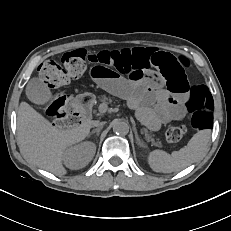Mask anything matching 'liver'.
I'll list each match as a JSON object with an SVG mask.
<instances>
[{
    "label": "liver",
    "mask_w": 231,
    "mask_h": 231,
    "mask_svg": "<svg viewBox=\"0 0 231 231\" xmlns=\"http://www.w3.org/2000/svg\"><path fill=\"white\" fill-rule=\"evenodd\" d=\"M92 124L86 121L65 129L53 126L28 103L21 102L17 113L19 145L35 165L55 175H64L67 173L63 166L65 152L89 135Z\"/></svg>",
    "instance_id": "obj_1"
}]
</instances>
